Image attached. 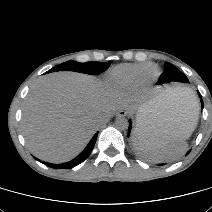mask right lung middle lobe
I'll return each mask as SVG.
<instances>
[{
    "instance_id": "1",
    "label": "right lung middle lobe",
    "mask_w": 212,
    "mask_h": 212,
    "mask_svg": "<svg viewBox=\"0 0 212 212\" xmlns=\"http://www.w3.org/2000/svg\"><path fill=\"white\" fill-rule=\"evenodd\" d=\"M109 66H110V63H105V62L91 61L86 63H80L76 61H68L50 69L49 72L76 71V72H81V73H86L91 75H97L106 71Z\"/></svg>"
}]
</instances>
